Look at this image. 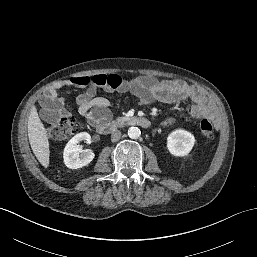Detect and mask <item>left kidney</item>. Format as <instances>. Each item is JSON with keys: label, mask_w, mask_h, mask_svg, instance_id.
Masks as SVG:
<instances>
[{"label": "left kidney", "mask_w": 257, "mask_h": 257, "mask_svg": "<svg viewBox=\"0 0 257 257\" xmlns=\"http://www.w3.org/2000/svg\"><path fill=\"white\" fill-rule=\"evenodd\" d=\"M195 144V138L190 132L178 129L167 137V149L173 156H186Z\"/></svg>", "instance_id": "5707ae66"}]
</instances>
